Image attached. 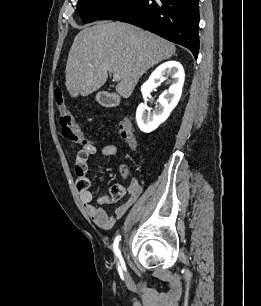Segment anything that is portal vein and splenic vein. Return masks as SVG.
<instances>
[{"label": "portal vein and splenic vein", "instance_id": "obj_1", "mask_svg": "<svg viewBox=\"0 0 261 306\" xmlns=\"http://www.w3.org/2000/svg\"><path fill=\"white\" fill-rule=\"evenodd\" d=\"M120 79H121V76L119 74H117V73H114L113 80L114 81H120Z\"/></svg>", "mask_w": 261, "mask_h": 306}]
</instances>
